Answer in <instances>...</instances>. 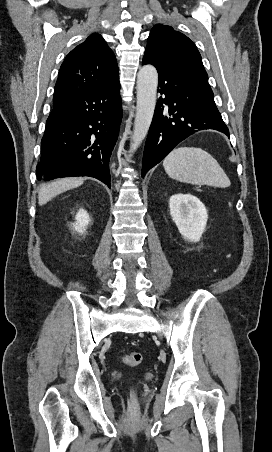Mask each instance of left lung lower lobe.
Listing matches in <instances>:
<instances>
[{"label":"left lung lower lobe","instance_id":"left-lung-lower-lobe-1","mask_svg":"<svg viewBox=\"0 0 272 452\" xmlns=\"http://www.w3.org/2000/svg\"><path fill=\"white\" fill-rule=\"evenodd\" d=\"M159 74V98L145 144L142 177L182 140L204 129L229 136L210 85L174 67L158 65L144 56ZM163 104H166L164 106Z\"/></svg>","mask_w":272,"mask_h":452}]
</instances>
